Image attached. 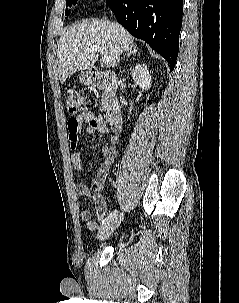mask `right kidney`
<instances>
[{
  "mask_svg": "<svg viewBox=\"0 0 239 303\" xmlns=\"http://www.w3.org/2000/svg\"><path fill=\"white\" fill-rule=\"evenodd\" d=\"M134 83H136L141 89L149 90L151 87V75L145 64H138L131 72ZM149 95L147 96V100Z\"/></svg>",
  "mask_w": 239,
  "mask_h": 303,
  "instance_id": "1",
  "label": "right kidney"
}]
</instances>
